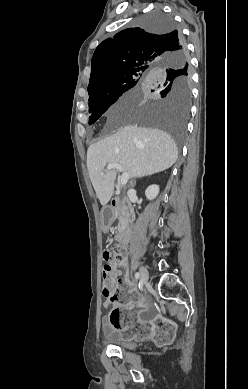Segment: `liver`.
I'll return each instance as SVG.
<instances>
[{"label": "liver", "instance_id": "1", "mask_svg": "<svg viewBox=\"0 0 248 389\" xmlns=\"http://www.w3.org/2000/svg\"><path fill=\"white\" fill-rule=\"evenodd\" d=\"M131 98L133 97L129 96L128 100ZM134 104L137 103L133 101L129 106ZM177 158V146L166 132L127 125L89 146L87 169L96 195L101 205L105 206L114 193L117 175L116 169L105 170L108 164H120L123 172H128L129 177L135 178L167 170Z\"/></svg>", "mask_w": 248, "mask_h": 389}]
</instances>
